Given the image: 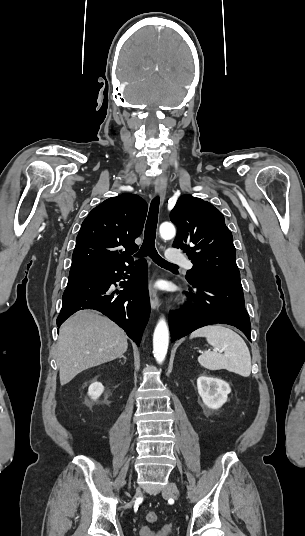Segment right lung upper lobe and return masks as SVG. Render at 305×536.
Returning <instances> with one entry per match:
<instances>
[{
	"label": "right lung upper lobe",
	"mask_w": 305,
	"mask_h": 536,
	"mask_svg": "<svg viewBox=\"0 0 305 536\" xmlns=\"http://www.w3.org/2000/svg\"><path fill=\"white\" fill-rule=\"evenodd\" d=\"M147 208L138 195L124 193L91 210L76 238L69 277L132 261L131 255L138 250L134 240L142 232Z\"/></svg>",
	"instance_id": "right-lung-upper-lobe-1"
}]
</instances>
